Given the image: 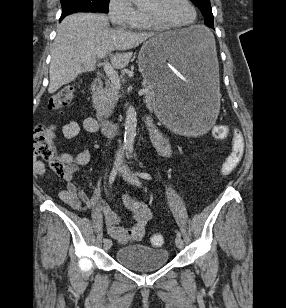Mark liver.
Segmentation results:
<instances>
[{
	"instance_id": "liver-1",
	"label": "liver",
	"mask_w": 286,
	"mask_h": 308,
	"mask_svg": "<svg viewBox=\"0 0 286 308\" xmlns=\"http://www.w3.org/2000/svg\"><path fill=\"white\" fill-rule=\"evenodd\" d=\"M108 25L106 15L95 13H76L62 20L51 52L49 93H55L82 73L94 71L99 52L110 54L112 65L121 69L129 63L133 54L130 50L148 38L180 35V31L155 34L113 30ZM114 50L119 52L113 55Z\"/></svg>"
}]
</instances>
